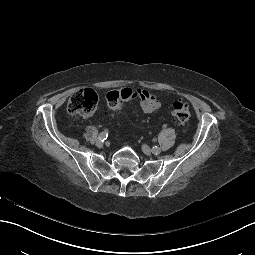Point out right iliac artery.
Listing matches in <instances>:
<instances>
[{
    "label": "right iliac artery",
    "mask_w": 255,
    "mask_h": 255,
    "mask_svg": "<svg viewBox=\"0 0 255 255\" xmlns=\"http://www.w3.org/2000/svg\"><path fill=\"white\" fill-rule=\"evenodd\" d=\"M108 137V132L107 131H103L99 134V139L104 141L105 139H107Z\"/></svg>",
    "instance_id": "obj_1"
}]
</instances>
